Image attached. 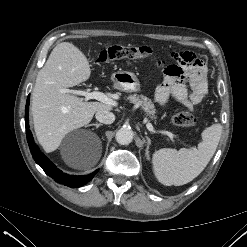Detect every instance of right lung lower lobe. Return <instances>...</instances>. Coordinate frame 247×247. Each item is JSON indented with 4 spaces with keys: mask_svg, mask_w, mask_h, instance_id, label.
Returning <instances> with one entry per match:
<instances>
[{
    "mask_svg": "<svg viewBox=\"0 0 247 247\" xmlns=\"http://www.w3.org/2000/svg\"><path fill=\"white\" fill-rule=\"evenodd\" d=\"M29 100L30 99L28 96L27 102H26V108H25L26 137H27V141L29 144L31 154L34 160L36 161V163L42 167V169L48 176L53 178L59 184H63V185H67L69 187L75 188V187H81L84 184L88 183L94 177V175L98 172L99 169L85 176L68 175L62 172L60 169H58L51 161H49L44 156L43 153H41V151L39 150V148L34 142L31 131L29 130V120H28Z\"/></svg>",
    "mask_w": 247,
    "mask_h": 247,
    "instance_id": "98d812e1",
    "label": "right lung lower lobe"
}]
</instances>
